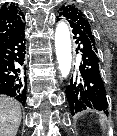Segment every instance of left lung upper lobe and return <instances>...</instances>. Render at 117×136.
<instances>
[{
    "label": "left lung upper lobe",
    "mask_w": 117,
    "mask_h": 136,
    "mask_svg": "<svg viewBox=\"0 0 117 136\" xmlns=\"http://www.w3.org/2000/svg\"><path fill=\"white\" fill-rule=\"evenodd\" d=\"M59 13H61L68 20L73 29H77L89 37L94 49L98 53L97 41L94 36L93 29L89 19L85 16L82 10L74 5H66L60 8Z\"/></svg>",
    "instance_id": "left-lung-upper-lobe-1"
}]
</instances>
